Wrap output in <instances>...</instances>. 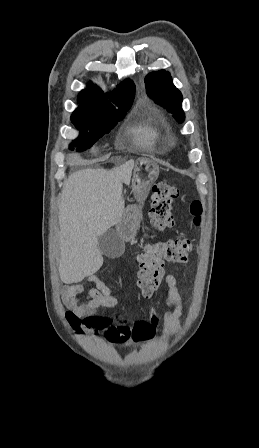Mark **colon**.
I'll return each mask as SVG.
<instances>
[{
  "label": "colon",
  "mask_w": 259,
  "mask_h": 448,
  "mask_svg": "<svg viewBox=\"0 0 259 448\" xmlns=\"http://www.w3.org/2000/svg\"><path fill=\"white\" fill-rule=\"evenodd\" d=\"M178 194V187L166 180H160L154 185L149 210L153 227L163 230L174 225L172 206ZM190 213L193 216L194 223L199 225L202 217L200 201L194 200L191 202ZM190 253V241L183 236L146 244L137 257L139 263L137 286L140 293L144 297L151 296L162 284L165 263H184L189 259ZM63 296L65 299L74 298V289H65ZM67 319L73 327H80L79 319L72 313H67Z\"/></svg>",
  "instance_id": "5ec220e1"
}]
</instances>
